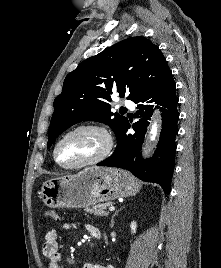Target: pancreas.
<instances>
[{
	"label": "pancreas",
	"instance_id": "1",
	"mask_svg": "<svg viewBox=\"0 0 221 268\" xmlns=\"http://www.w3.org/2000/svg\"><path fill=\"white\" fill-rule=\"evenodd\" d=\"M111 206L110 202L106 203H98L93 205L92 207H86L85 211L95 216H107L108 212L106 211L107 207Z\"/></svg>",
	"mask_w": 221,
	"mask_h": 268
}]
</instances>
